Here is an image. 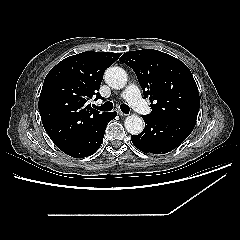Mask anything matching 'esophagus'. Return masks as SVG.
<instances>
[{
    "label": "esophagus",
    "mask_w": 240,
    "mask_h": 240,
    "mask_svg": "<svg viewBox=\"0 0 240 240\" xmlns=\"http://www.w3.org/2000/svg\"><path fill=\"white\" fill-rule=\"evenodd\" d=\"M118 114L120 115V116H122V117H125V116H127V114L126 113H124V112H122V111H118Z\"/></svg>",
    "instance_id": "1"
}]
</instances>
